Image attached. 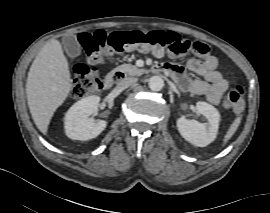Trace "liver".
Wrapping results in <instances>:
<instances>
[{"label": "liver", "instance_id": "6515ba94", "mask_svg": "<svg viewBox=\"0 0 270 213\" xmlns=\"http://www.w3.org/2000/svg\"><path fill=\"white\" fill-rule=\"evenodd\" d=\"M71 88V74L62 45L52 39L34 59L26 83L30 113L41 133H47L54 112L63 104Z\"/></svg>", "mask_w": 270, "mask_h": 213}]
</instances>
